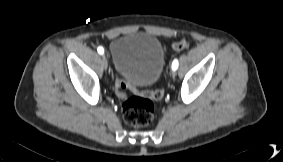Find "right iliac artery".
<instances>
[{
	"mask_svg": "<svg viewBox=\"0 0 283 162\" xmlns=\"http://www.w3.org/2000/svg\"><path fill=\"white\" fill-rule=\"evenodd\" d=\"M97 51H98L99 54H103L104 53V49L101 46L97 48Z\"/></svg>",
	"mask_w": 283,
	"mask_h": 162,
	"instance_id": "right-iliac-artery-1",
	"label": "right iliac artery"
}]
</instances>
